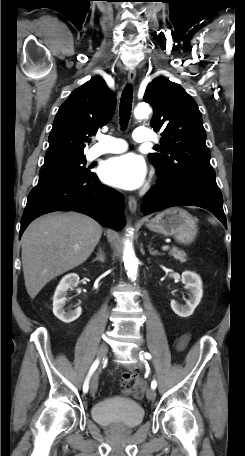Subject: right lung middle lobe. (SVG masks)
I'll return each mask as SVG.
<instances>
[{"label": "right lung middle lobe", "mask_w": 245, "mask_h": 456, "mask_svg": "<svg viewBox=\"0 0 245 456\" xmlns=\"http://www.w3.org/2000/svg\"><path fill=\"white\" fill-rule=\"evenodd\" d=\"M86 158L63 162L53 166L42 167L37 186L56 184L65 181L86 179L95 173L85 167Z\"/></svg>", "instance_id": "right-lung-middle-lobe-1"}]
</instances>
